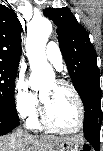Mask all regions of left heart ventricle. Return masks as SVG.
Masks as SVG:
<instances>
[{
    "mask_svg": "<svg viewBox=\"0 0 103 151\" xmlns=\"http://www.w3.org/2000/svg\"><path fill=\"white\" fill-rule=\"evenodd\" d=\"M41 96L51 121L65 129H73L79 123V109L72 93L55 81L41 89Z\"/></svg>",
    "mask_w": 103,
    "mask_h": 151,
    "instance_id": "obj_1",
    "label": "left heart ventricle"
}]
</instances>
